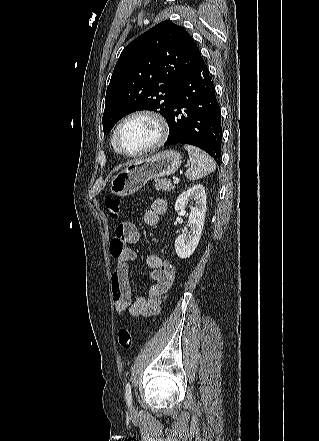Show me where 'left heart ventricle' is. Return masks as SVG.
Wrapping results in <instances>:
<instances>
[{
    "mask_svg": "<svg viewBox=\"0 0 319 441\" xmlns=\"http://www.w3.org/2000/svg\"><path fill=\"white\" fill-rule=\"evenodd\" d=\"M157 137L154 122L147 118H135L126 122L120 130L119 142L127 152H136L150 145Z\"/></svg>",
    "mask_w": 319,
    "mask_h": 441,
    "instance_id": "left-heart-ventricle-1",
    "label": "left heart ventricle"
}]
</instances>
